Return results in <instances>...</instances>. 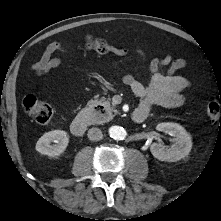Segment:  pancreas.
<instances>
[{
  "label": "pancreas",
  "mask_w": 221,
  "mask_h": 221,
  "mask_svg": "<svg viewBox=\"0 0 221 221\" xmlns=\"http://www.w3.org/2000/svg\"><path fill=\"white\" fill-rule=\"evenodd\" d=\"M89 103L92 106L103 105L104 109L106 111V115L103 118H100L97 113H92L88 118V122L90 124H100V123L108 120L109 118H112L114 116V114L118 113V111L115 110L114 107L110 104L109 100H103V99H101V100H91Z\"/></svg>",
  "instance_id": "1"
}]
</instances>
